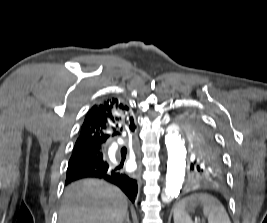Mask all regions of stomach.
Returning a JSON list of instances; mask_svg holds the SVG:
<instances>
[{
  "label": "stomach",
  "instance_id": "stomach-1",
  "mask_svg": "<svg viewBox=\"0 0 267 223\" xmlns=\"http://www.w3.org/2000/svg\"><path fill=\"white\" fill-rule=\"evenodd\" d=\"M197 205V201L196 200H192L189 202V209L193 210Z\"/></svg>",
  "mask_w": 267,
  "mask_h": 223
}]
</instances>
